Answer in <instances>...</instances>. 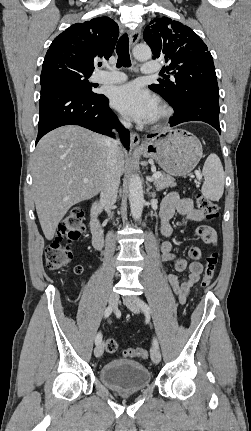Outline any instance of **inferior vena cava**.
Returning a JSON list of instances; mask_svg holds the SVG:
<instances>
[{
  "label": "inferior vena cava",
  "mask_w": 251,
  "mask_h": 431,
  "mask_svg": "<svg viewBox=\"0 0 251 431\" xmlns=\"http://www.w3.org/2000/svg\"><path fill=\"white\" fill-rule=\"evenodd\" d=\"M123 125L127 128L131 126L130 120L124 118ZM107 159L105 184L100 194V202L105 207L109 216H112L111 208L117 200V193L120 184V171L117 165V151L119 149V140L107 138Z\"/></svg>",
  "instance_id": "1"
}]
</instances>
